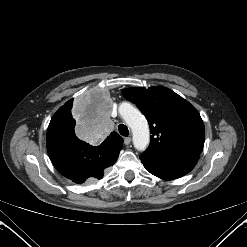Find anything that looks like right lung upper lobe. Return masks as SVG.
Masks as SVG:
<instances>
[{
	"label": "right lung upper lobe",
	"instance_id": "obj_1",
	"mask_svg": "<svg viewBox=\"0 0 247 247\" xmlns=\"http://www.w3.org/2000/svg\"><path fill=\"white\" fill-rule=\"evenodd\" d=\"M72 105H73V99L69 100L68 102L65 103L64 106L60 107L58 109V111L54 114V116L52 117V119L50 121V125H56L57 116L60 115L61 113L65 112V111L69 110ZM103 144L110 146V147H115V148L121 149L122 144H123V139L116 132H112L110 134V136L105 139Z\"/></svg>",
	"mask_w": 247,
	"mask_h": 247
}]
</instances>
